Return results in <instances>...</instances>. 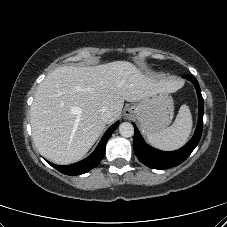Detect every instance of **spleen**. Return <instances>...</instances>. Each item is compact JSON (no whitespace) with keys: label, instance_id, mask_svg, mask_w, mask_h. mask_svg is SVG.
<instances>
[{"label":"spleen","instance_id":"3e777b00","mask_svg":"<svg viewBox=\"0 0 227 227\" xmlns=\"http://www.w3.org/2000/svg\"><path fill=\"white\" fill-rule=\"evenodd\" d=\"M192 129V115L187 105H182L174 123L166 129L147 135L148 142L161 150L172 151L182 147Z\"/></svg>","mask_w":227,"mask_h":227}]
</instances>
